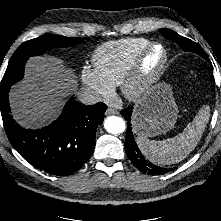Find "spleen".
Listing matches in <instances>:
<instances>
[{"instance_id": "obj_1", "label": "spleen", "mask_w": 221, "mask_h": 221, "mask_svg": "<svg viewBox=\"0 0 221 221\" xmlns=\"http://www.w3.org/2000/svg\"><path fill=\"white\" fill-rule=\"evenodd\" d=\"M210 108L203 106L183 132L165 140H149L138 136L136 141L142 153L157 165H170L185 159L199 143L207 126Z\"/></svg>"}]
</instances>
